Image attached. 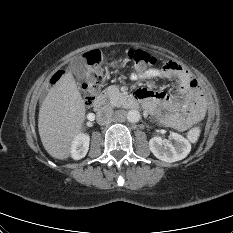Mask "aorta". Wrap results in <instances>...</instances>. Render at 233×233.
Returning a JSON list of instances; mask_svg holds the SVG:
<instances>
[{
	"instance_id": "aorta-1",
	"label": "aorta",
	"mask_w": 233,
	"mask_h": 233,
	"mask_svg": "<svg viewBox=\"0 0 233 233\" xmlns=\"http://www.w3.org/2000/svg\"><path fill=\"white\" fill-rule=\"evenodd\" d=\"M126 118L129 122L136 123L140 120L141 115H140V112L138 110L132 109V110L127 112Z\"/></svg>"
}]
</instances>
